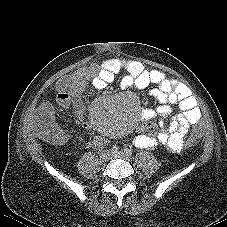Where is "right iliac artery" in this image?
<instances>
[{
  "instance_id": "82829eb1",
  "label": "right iliac artery",
  "mask_w": 227,
  "mask_h": 227,
  "mask_svg": "<svg viewBox=\"0 0 227 227\" xmlns=\"http://www.w3.org/2000/svg\"><path fill=\"white\" fill-rule=\"evenodd\" d=\"M112 153H117V151H118V147H116V146H113L112 148H111V150H110Z\"/></svg>"
}]
</instances>
